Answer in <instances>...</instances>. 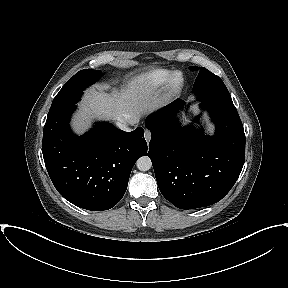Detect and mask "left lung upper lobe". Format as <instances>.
I'll use <instances>...</instances> for the list:
<instances>
[{
    "label": "left lung upper lobe",
    "instance_id": "left-lung-upper-lobe-1",
    "mask_svg": "<svg viewBox=\"0 0 288 288\" xmlns=\"http://www.w3.org/2000/svg\"><path fill=\"white\" fill-rule=\"evenodd\" d=\"M191 71L199 70L194 83L193 92L201 101L217 103L228 108L236 109L223 81L217 75L204 67H189Z\"/></svg>",
    "mask_w": 288,
    "mask_h": 288
}]
</instances>
